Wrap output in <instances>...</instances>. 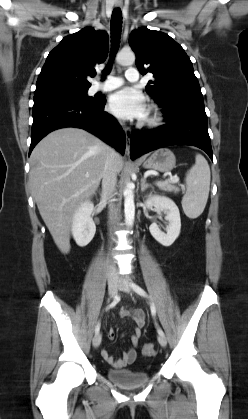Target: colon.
<instances>
[{
    "label": "colon",
    "instance_id": "colon-1",
    "mask_svg": "<svg viewBox=\"0 0 248 419\" xmlns=\"http://www.w3.org/2000/svg\"><path fill=\"white\" fill-rule=\"evenodd\" d=\"M143 353L147 356H152L155 353L154 345L152 343H145Z\"/></svg>",
    "mask_w": 248,
    "mask_h": 419
}]
</instances>
